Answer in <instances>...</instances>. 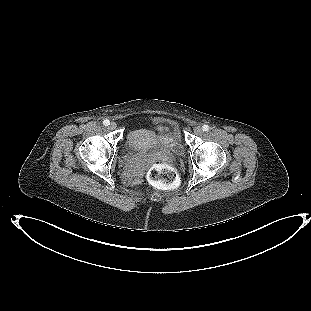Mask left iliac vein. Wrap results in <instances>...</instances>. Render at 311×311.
Wrapping results in <instances>:
<instances>
[{
    "label": "left iliac vein",
    "instance_id": "1",
    "mask_svg": "<svg viewBox=\"0 0 311 311\" xmlns=\"http://www.w3.org/2000/svg\"><path fill=\"white\" fill-rule=\"evenodd\" d=\"M194 133L197 135H200L202 133V127L201 126H196L194 128Z\"/></svg>",
    "mask_w": 311,
    "mask_h": 311
}]
</instances>
